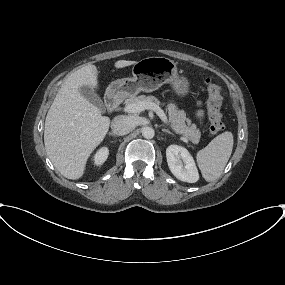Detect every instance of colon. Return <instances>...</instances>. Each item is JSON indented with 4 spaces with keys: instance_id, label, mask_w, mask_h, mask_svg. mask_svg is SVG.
Returning <instances> with one entry per match:
<instances>
[{
    "instance_id": "1",
    "label": "colon",
    "mask_w": 285,
    "mask_h": 285,
    "mask_svg": "<svg viewBox=\"0 0 285 285\" xmlns=\"http://www.w3.org/2000/svg\"><path fill=\"white\" fill-rule=\"evenodd\" d=\"M205 85L208 92L207 113L210 121V131L217 134L224 129L221 113V88L210 79H206Z\"/></svg>"
}]
</instances>
